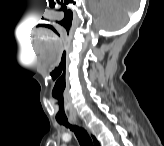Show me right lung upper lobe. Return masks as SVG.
I'll use <instances>...</instances> for the list:
<instances>
[{
    "label": "right lung upper lobe",
    "instance_id": "1",
    "mask_svg": "<svg viewBox=\"0 0 164 146\" xmlns=\"http://www.w3.org/2000/svg\"><path fill=\"white\" fill-rule=\"evenodd\" d=\"M93 138H94V144L95 145H99L98 142H97V140L95 139V137H93Z\"/></svg>",
    "mask_w": 164,
    "mask_h": 146
}]
</instances>
